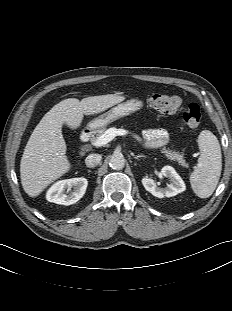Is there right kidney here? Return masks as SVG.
<instances>
[{"mask_svg":"<svg viewBox=\"0 0 232 311\" xmlns=\"http://www.w3.org/2000/svg\"><path fill=\"white\" fill-rule=\"evenodd\" d=\"M88 181L86 178H72L60 180L53 184L46 194V199L49 202L62 205H71L76 203L85 194ZM73 188V191L68 192ZM67 190V194L65 193Z\"/></svg>","mask_w":232,"mask_h":311,"instance_id":"ca27d5eb","label":"right kidney"}]
</instances>
